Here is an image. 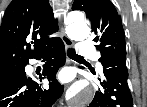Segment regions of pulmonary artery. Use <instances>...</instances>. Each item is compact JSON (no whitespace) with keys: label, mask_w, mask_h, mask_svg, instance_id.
<instances>
[{"label":"pulmonary artery","mask_w":147,"mask_h":107,"mask_svg":"<svg viewBox=\"0 0 147 107\" xmlns=\"http://www.w3.org/2000/svg\"><path fill=\"white\" fill-rule=\"evenodd\" d=\"M76 52L81 56L93 57L96 56L95 48L86 42H79L77 44ZM98 67L101 69V64L98 63Z\"/></svg>","instance_id":"obj_1"}]
</instances>
